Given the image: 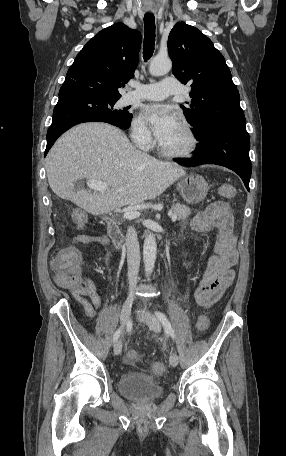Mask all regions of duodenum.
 <instances>
[{
	"label": "duodenum",
	"mask_w": 286,
	"mask_h": 456,
	"mask_svg": "<svg viewBox=\"0 0 286 456\" xmlns=\"http://www.w3.org/2000/svg\"><path fill=\"white\" fill-rule=\"evenodd\" d=\"M107 232L112 243L115 246L122 248L124 245V239L119 224L115 220L110 219L107 222Z\"/></svg>",
	"instance_id": "obj_1"
}]
</instances>
